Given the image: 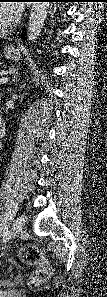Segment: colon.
I'll use <instances>...</instances> for the list:
<instances>
[{"label": "colon", "instance_id": "1", "mask_svg": "<svg viewBox=\"0 0 107 297\" xmlns=\"http://www.w3.org/2000/svg\"><path fill=\"white\" fill-rule=\"evenodd\" d=\"M22 256L24 259L31 263H39L41 261V255L40 253L35 249H30L28 251H23ZM46 272L44 270L40 271L37 276L34 278L33 283H39Z\"/></svg>", "mask_w": 107, "mask_h": 297}]
</instances>
